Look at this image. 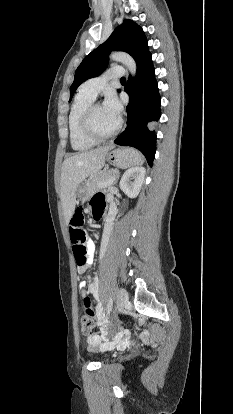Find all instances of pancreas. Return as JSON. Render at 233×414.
<instances>
[{"mask_svg":"<svg viewBox=\"0 0 233 414\" xmlns=\"http://www.w3.org/2000/svg\"><path fill=\"white\" fill-rule=\"evenodd\" d=\"M117 174L118 171L115 169H105L103 171L93 173L87 181V188L90 195L96 190L106 188L107 186H105V183Z\"/></svg>","mask_w":233,"mask_h":414,"instance_id":"1","label":"pancreas"}]
</instances>
